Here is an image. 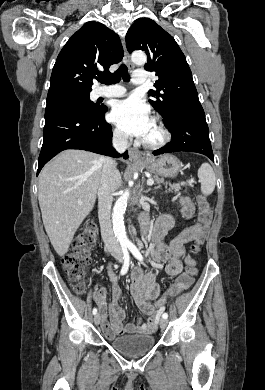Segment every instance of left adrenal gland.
Returning a JSON list of instances; mask_svg holds the SVG:
<instances>
[{
	"label": "left adrenal gland",
	"instance_id": "a2214340",
	"mask_svg": "<svg viewBox=\"0 0 265 390\" xmlns=\"http://www.w3.org/2000/svg\"><path fill=\"white\" fill-rule=\"evenodd\" d=\"M149 190H146V191H144L145 193H147Z\"/></svg>",
	"mask_w": 265,
	"mask_h": 390
}]
</instances>
